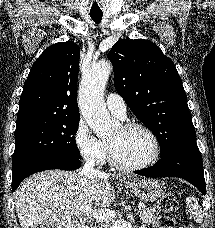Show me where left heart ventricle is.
<instances>
[{
  "mask_svg": "<svg viewBox=\"0 0 215 228\" xmlns=\"http://www.w3.org/2000/svg\"><path fill=\"white\" fill-rule=\"evenodd\" d=\"M113 147L117 160L125 165L142 163L150 154L151 141L140 128H118L108 140Z\"/></svg>",
  "mask_w": 215,
  "mask_h": 228,
  "instance_id": "1",
  "label": "left heart ventricle"
}]
</instances>
